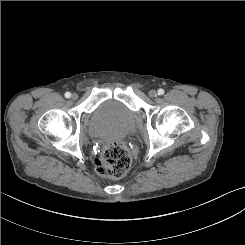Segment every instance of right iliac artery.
I'll return each instance as SVG.
<instances>
[{
  "instance_id": "obj_1",
  "label": "right iliac artery",
  "mask_w": 245,
  "mask_h": 245,
  "mask_svg": "<svg viewBox=\"0 0 245 245\" xmlns=\"http://www.w3.org/2000/svg\"><path fill=\"white\" fill-rule=\"evenodd\" d=\"M70 96H71L70 92H66V93H65V97H66V98H70Z\"/></svg>"
}]
</instances>
